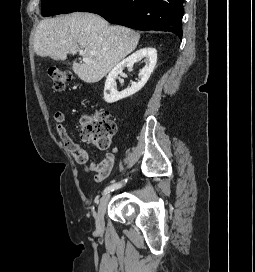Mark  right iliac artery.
I'll return each mask as SVG.
<instances>
[{"label":"right iliac artery","instance_id":"1","mask_svg":"<svg viewBox=\"0 0 255 272\" xmlns=\"http://www.w3.org/2000/svg\"><path fill=\"white\" fill-rule=\"evenodd\" d=\"M125 183H127V179H124L123 181L119 183H114L108 187H106L103 191L104 194L109 193L110 191H114L115 189L121 188Z\"/></svg>","mask_w":255,"mask_h":272}]
</instances>
